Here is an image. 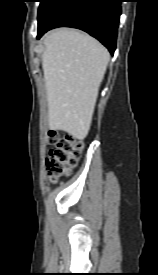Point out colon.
Segmentation results:
<instances>
[{
  "mask_svg": "<svg viewBox=\"0 0 158 275\" xmlns=\"http://www.w3.org/2000/svg\"><path fill=\"white\" fill-rule=\"evenodd\" d=\"M49 144L51 148L46 166L49 178L56 181L77 164L82 153V144L72 134L60 137L53 131L49 134Z\"/></svg>",
  "mask_w": 158,
  "mask_h": 275,
  "instance_id": "colon-1",
  "label": "colon"
}]
</instances>
